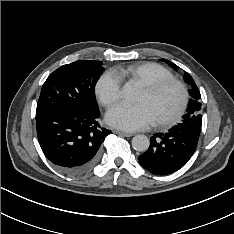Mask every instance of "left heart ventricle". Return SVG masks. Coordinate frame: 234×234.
<instances>
[{
    "label": "left heart ventricle",
    "mask_w": 234,
    "mask_h": 234,
    "mask_svg": "<svg viewBox=\"0 0 234 234\" xmlns=\"http://www.w3.org/2000/svg\"><path fill=\"white\" fill-rule=\"evenodd\" d=\"M180 101L181 93L175 86L167 87L153 96H148L141 90L136 98V103L143 104L148 109L154 122L172 115Z\"/></svg>",
    "instance_id": "1"
}]
</instances>
